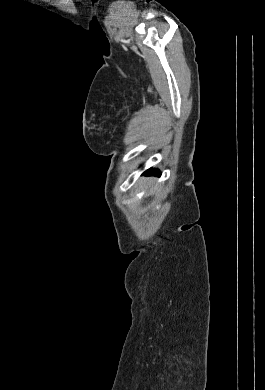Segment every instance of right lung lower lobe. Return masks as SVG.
<instances>
[{
  "label": "right lung lower lobe",
  "instance_id": "1",
  "mask_svg": "<svg viewBox=\"0 0 265 390\" xmlns=\"http://www.w3.org/2000/svg\"><path fill=\"white\" fill-rule=\"evenodd\" d=\"M146 175L160 176V171L157 169H149V170H147Z\"/></svg>",
  "mask_w": 265,
  "mask_h": 390
}]
</instances>
